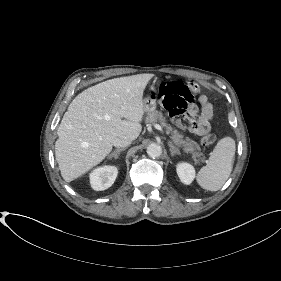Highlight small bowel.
<instances>
[{
  "label": "small bowel",
  "mask_w": 281,
  "mask_h": 281,
  "mask_svg": "<svg viewBox=\"0 0 281 281\" xmlns=\"http://www.w3.org/2000/svg\"><path fill=\"white\" fill-rule=\"evenodd\" d=\"M198 101L200 104V111L198 112L195 108L191 109L193 115L198 113V119L192 125L191 131L197 135H202L209 129L213 112L212 105L205 95H201Z\"/></svg>",
  "instance_id": "c3829d8e"
}]
</instances>
